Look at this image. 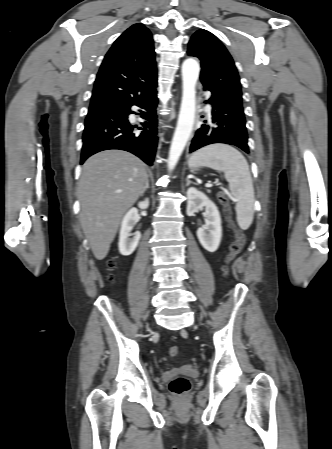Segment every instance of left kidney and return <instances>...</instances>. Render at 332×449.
Here are the masks:
<instances>
[{
	"label": "left kidney",
	"mask_w": 332,
	"mask_h": 449,
	"mask_svg": "<svg viewBox=\"0 0 332 449\" xmlns=\"http://www.w3.org/2000/svg\"><path fill=\"white\" fill-rule=\"evenodd\" d=\"M187 215L194 216L205 207V225L197 230V237L203 248L215 252L221 242V217L217 206L201 191L194 187L187 190Z\"/></svg>",
	"instance_id": "left-kidney-1"
}]
</instances>
